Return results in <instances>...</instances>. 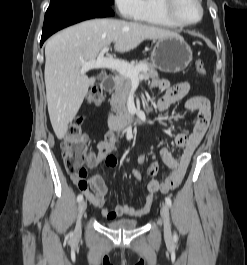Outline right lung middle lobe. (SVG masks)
<instances>
[{"label":"right lung middle lobe","mask_w":247,"mask_h":265,"mask_svg":"<svg viewBox=\"0 0 247 265\" xmlns=\"http://www.w3.org/2000/svg\"><path fill=\"white\" fill-rule=\"evenodd\" d=\"M70 1L95 2V3H104L107 5H112L114 3V0H51L50 5L61 2H70Z\"/></svg>","instance_id":"1"}]
</instances>
